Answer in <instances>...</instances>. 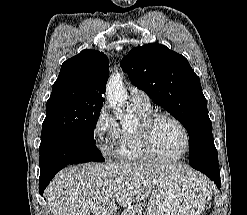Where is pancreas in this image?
Wrapping results in <instances>:
<instances>
[{
	"mask_svg": "<svg viewBox=\"0 0 247 215\" xmlns=\"http://www.w3.org/2000/svg\"><path fill=\"white\" fill-rule=\"evenodd\" d=\"M143 208L139 205H133L127 208L122 215H142Z\"/></svg>",
	"mask_w": 247,
	"mask_h": 215,
	"instance_id": "cf45deb5",
	"label": "pancreas"
}]
</instances>
